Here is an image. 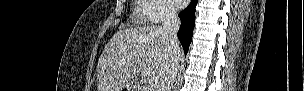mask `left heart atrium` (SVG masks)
<instances>
[{"label":"left heart atrium","mask_w":304,"mask_h":91,"mask_svg":"<svg viewBox=\"0 0 304 91\" xmlns=\"http://www.w3.org/2000/svg\"><path fill=\"white\" fill-rule=\"evenodd\" d=\"M173 3L177 8H183L186 6V1L185 0H174Z\"/></svg>","instance_id":"left-heart-atrium-1"}]
</instances>
